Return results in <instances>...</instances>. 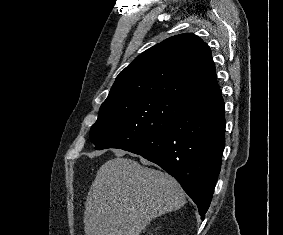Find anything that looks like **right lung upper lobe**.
<instances>
[{
  "label": "right lung upper lobe",
  "instance_id": "cb5924a9",
  "mask_svg": "<svg viewBox=\"0 0 283 235\" xmlns=\"http://www.w3.org/2000/svg\"><path fill=\"white\" fill-rule=\"evenodd\" d=\"M217 88L208 45L198 36L185 33L170 37L136 57L117 76L103 104L145 97L185 103Z\"/></svg>",
  "mask_w": 283,
  "mask_h": 235
}]
</instances>
